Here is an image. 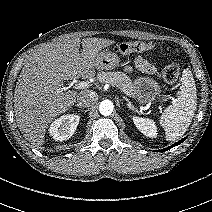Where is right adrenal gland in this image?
Segmentation results:
<instances>
[{
  "label": "right adrenal gland",
  "instance_id": "obj_1",
  "mask_svg": "<svg viewBox=\"0 0 212 212\" xmlns=\"http://www.w3.org/2000/svg\"><path fill=\"white\" fill-rule=\"evenodd\" d=\"M75 106L79 107V108H82L84 106H82L81 104L77 103Z\"/></svg>",
  "mask_w": 212,
  "mask_h": 212
}]
</instances>
